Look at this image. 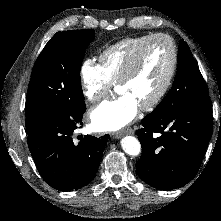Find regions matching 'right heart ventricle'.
I'll return each instance as SVG.
<instances>
[{"label":"right heart ventricle","mask_w":221,"mask_h":221,"mask_svg":"<svg viewBox=\"0 0 221 221\" xmlns=\"http://www.w3.org/2000/svg\"><path fill=\"white\" fill-rule=\"evenodd\" d=\"M150 36L143 35L122 39L109 45L100 53V66L113 84L117 82L132 54Z\"/></svg>","instance_id":"obj_1"}]
</instances>
